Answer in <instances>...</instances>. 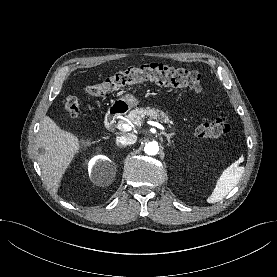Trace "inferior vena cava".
I'll list each match as a JSON object with an SVG mask.
<instances>
[{
    "label": "inferior vena cava",
    "instance_id": "obj_1",
    "mask_svg": "<svg viewBox=\"0 0 277 277\" xmlns=\"http://www.w3.org/2000/svg\"><path fill=\"white\" fill-rule=\"evenodd\" d=\"M117 143L122 145H132L137 141V136L131 133L116 138Z\"/></svg>",
    "mask_w": 277,
    "mask_h": 277
}]
</instances>
